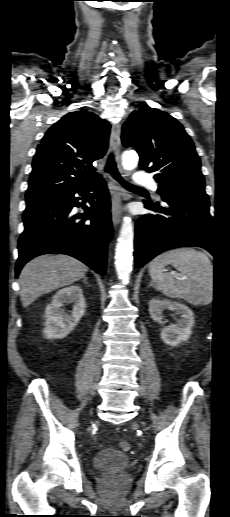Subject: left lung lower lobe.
<instances>
[{
    "label": "left lung lower lobe",
    "instance_id": "0a47b994",
    "mask_svg": "<svg viewBox=\"0 0 230 517\" xmlns=\"http://www.w3.org/2000/svg\"><path fill=\"white\" fill-rule=\"evenodd\" d=\"M162 201V206L144 201L147 209L162 215L147 214L138 219L134 251L136 267L177 247H202L215 256L207 194L175 193L163 197Z\"/></svg>",
    "mask_w": 230,
    "mask_h": 517
}]
</instances>
